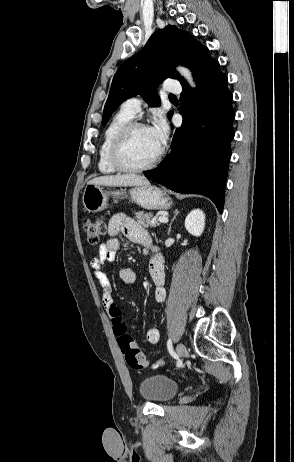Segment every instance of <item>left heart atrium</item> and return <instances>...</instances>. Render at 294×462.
Segmentation results:
<instances>
[{
	"label": "left heart atrium",
	"mask_w": 294,
	"mask_h": 462,
	"mask_svg": "<svg viewBox=\"0 0 294 462\" xmlns=\"http://www.w3.org/2000/svg\"><path fill=\"white\" fill-rule=\"evenodd\" d=\"M149 130L151 131L157 146L161 150L168 139V126L166 122L164 119L159 118L154 122L153 126H151Z\"/></svg>",
	"instance_id": "obj_1"
}]
</instances>
